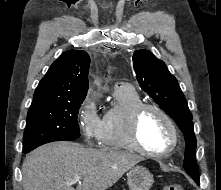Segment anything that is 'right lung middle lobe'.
Wrapping results in <instances>:
<instances>
[{
	"instance_id": "1",
	"label": "right lung middle lobe",
	"mask_w": 221,
	"mask_h": 190,
	"mask_svg": "<svg viewBox=\"0 0 221 190\" xmlns=\"http://www.w3.org/2000/svg\"><path fill=\"white\" fill-rule=\"evenodd\" d=\"M82 102L31 106L24 133V153L45 143L79 138L77 114Z\"/></svg>"
}]
</instances>
